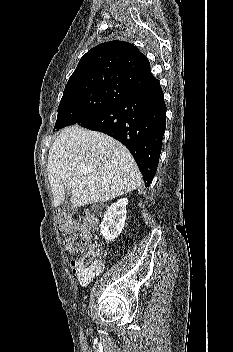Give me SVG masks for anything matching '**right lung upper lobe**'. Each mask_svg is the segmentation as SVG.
<instances>
[{
	"label": "right lung upper lobe",
	"instance_id": "cb5924a9",
	"mask_svg": "<svg viewBox=\"0 0 233 352\" xmlns=\"http://www.w3.org/2000/svg\"><path fill=\"white\" fill-rule=\"evenodd\" d=\"M158 80L150 63L134 45L110 41L89 50L69 78L64 93L91 86L116 84L142 90Z\"/></svg>",
	"mask_w": 233,
	"mask_h": 352
}]
</instances>
